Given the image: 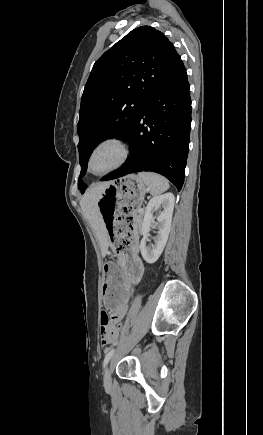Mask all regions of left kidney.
Instances as JSON below:
<instances>
[{
    "label": "left kidney",
    "instance_id": "obj_1",
    "mask_svg": "<svg viewBox=\"0 0 263 435\" xmlns=\"http://www.w3.org/2000/svg\"><path fill=\"white\" fill-rule=\"evenodd\" d=\"M174 203V195L171 192H168L162 195L154 196L146 206L144 220L141 227L143 238L140 242V251L143 259L149 264H153L159 259L167 243L171 228ZM160 207L163 210L157 216V236L154 238V244L147 246L146 243L148 240L149 231L154 223V212Z\"/></svg>",
    "mask_w": 263,
    "mask_h": 435
}]
</instances>
